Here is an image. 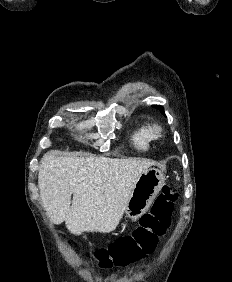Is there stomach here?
I'll return each mask as SVG.
<instances>
[{
	"instance_id": "obj_1",
	"label": "stomach",
	"mask_w": 232,
	"mask_h": 282,
	"mask_svg": "<svg viewBox=\"0 0 232 282\" xmlns=\"http://www.w3.org/2000/svg\"><path fill=\"white\" fill-rule=\"evenodd\" d=\"M164 184L165 175L161 170L151 167L143 171L131 191L125 209L126 218L136 220L141 217L149 209Z\"/></svg>"
}]
</instances>
